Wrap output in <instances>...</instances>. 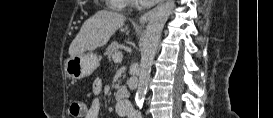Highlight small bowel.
Masks as SVG:
<instances>
[{
	"instance_id": "obj_1",
	"label": "small bowel",
	"mask_w": 273,
	"mask_h": 118,
	"mask_svg": "<svg viewBox=\"0 0 273 118\" xmlns=\"http://www.w3.org/2000/svg\"><path fill=\"white\" fill-rule=\"evenodd\" d=\"M92 89L95 94H98L102 90V82L100 80H95L92 84ZM117 111L121 116L126 113V107L124 105H117ZM100 112V102L98 99H93L89 105L86 118H98Z\"/></svg>"
}]
</instances>
